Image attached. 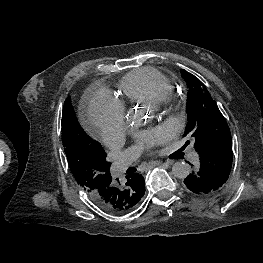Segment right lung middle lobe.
Listing matches in <instances>:
<instances>
[{
  "label": "right lung middle lobe",
  "mask_w": 263,
  "mask_h": 263,
  "mask_svg": "<svg viewBox=\"0 0 263 263\" xmlns=\"http://www.w3.org/2000/svg\"><path fill=\"white\" fill-rule=\"evenodd\" d=\"M62 141L70 170L77 183L88 193L103 187L111 177V163L101 144L82 129L74 113L71 98L62 111Z\"/></svg>",
  "instance_id": "right-lung-middle-lobe-1"
}]
</instances>
